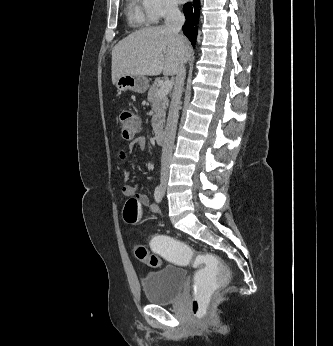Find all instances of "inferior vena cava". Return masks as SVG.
Returning <instances> with one entry per match:
<instances>
[{
    "label": "inferior vena cava",
    "instance_id": "inferior-vena-cava-1",
    "mask_svg": "<svg viewBox=\"0 0 333 346\" xmlns=\"http://www.w3.org/2000/svg\"><path fill=\"white\" fill-rule=\"evenodd\" d=\"M184 22V15L180 12L178 7L173 4L167 5L165 15V27L174 32L175 34L179 35V32L181 31ZM185 75V63H182L176 74V80L172 94L169 114L167 118V124L164 131V141L162 146L161 157V177H168L169 174V167L172 159L177 122L179 117V104L182 96Z\"/></svg>",
    "mask_w": 333,
    "mask_h": 346
}]
</instances>
